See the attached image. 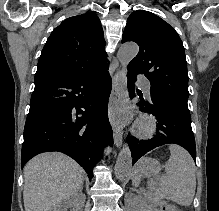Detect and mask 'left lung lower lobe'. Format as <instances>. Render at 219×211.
<instances>
[{"label": "left lung lower lobe", "instance_id": "0a47b994", "mask_svg": "<svg viewBox=\"0 0 219 211\" xmlns=\"http://www.w3.org/2000/svg\"><path fill=\"white\" fill-rule=\"evenodd\" d=\"M136 75L128 72V78L132 83L136 81ZM140 100L136 105L144 112L152 113L157 118L156 135L149 140H138L135 137L128 138L133 164L147 152L165 144H177L184 147L196 159V146L194 134L191 128V116L189 109L181 104L168 100L163 96H154L143 99L142 93H135L130 87V97Z\"/></svg>", "mask_w": 219, "mask_h": 211}]
</instances>
